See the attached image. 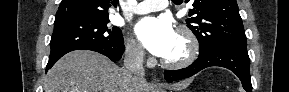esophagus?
<instances>
[{
    "instance_id": "obj_1",
    "label": "esophagus",
    "mask_w": 289,
    "mask_h": 92,
    "mask_svg": "<svg viewBox=\"0 0 289 92\" xmlns=\"http://www.w3.org/2000/svg\"><path fill=\"white\" fill-rule=\"evenodd\" d=\"M153 81H154V82H156V81H157V79H156V77H155V76H153Z\"/></svg>"
}]
</instances>
